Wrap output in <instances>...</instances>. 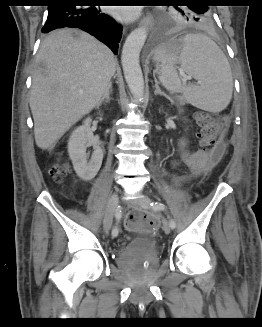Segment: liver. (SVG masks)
<instances>
[{"instance_id": "obj_1", "label": "liver", "mask_w": 262, "mask_h": 327, "mask_svg": "<svg viewBox=\"0 0 262 327\" xmlns=\"http://www.w3.org/2000/svg\"><path fill=\"white\" fill-rule=\"evenodd\" d=\"M116 71L112 51L77 29H60L41 43L30 108L36 145L54 144L102 99Z\"/></svg>"}]
</instances>
